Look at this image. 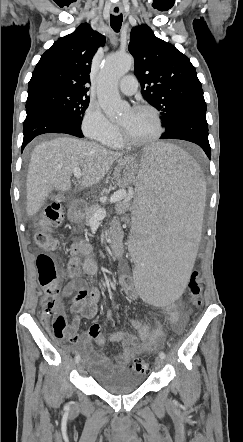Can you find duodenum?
Instances as JSON below:
<instances>
[{"instance_id": "duodenum-1", "label": "duodenum", "mask_w": 243, "mask_h": 442, "mask_svg": "<svg viewBox=\"0 0 243 442\" xmlns=\"http://www.w3.org/2000/svg\"><path fill=\"white\" fill-rule=\"evenodd\" d=\"M112 251L114 254L119 255L123 251L122 246V232H115L112 240Z\"/></svg>"}]
</instances>
